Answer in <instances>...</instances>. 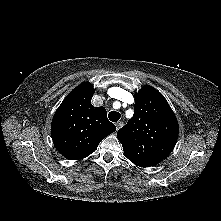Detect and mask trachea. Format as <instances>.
<instances>
[{
	"label": "trachea",
	"mask_w": 221,
	"mask_h": 221,
	"mask_svg": "<svg viewBox=\"0 0 221 221\" xmlns=\"http://www.w3.org/2000/svg\"><path fill=\"white\" fill-rule=\"evenodd\" d=\"M121 115L119 112L117 111H111L108 114V118L112 121V122H117L120 119Z\"/></svg>",
	"instance_id": "1"
}]
</instances>
